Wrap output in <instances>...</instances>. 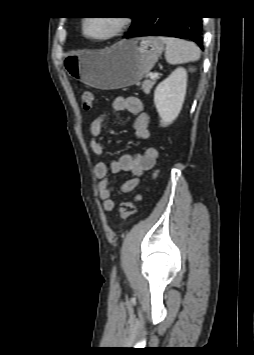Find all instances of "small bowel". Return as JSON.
<instances>
[{"instance_id":"1","label":"small bowel","mask_w":254,"mask_h":355,"mask_svg":"<svg viewBox=\"0 0 254 355\" xmlns=\"http://www.w3.org/2000/svg\"><path fill=\"white\" fill-rule=\"evenodd\" d=\"M112 109L116 112L128 111L134 114L135 120L133 128L135 136L141 141H147L150 138L149 122L150 117L143 112L142 101L138 97H116L112 102ZM106 115L103 114L92 121L89 127L91 150L97 156L105 154L104 147L100 141L103 132V126L106 121ZM158 151L154 147H146L141 154H122L117 160L112 161L110 165L100 162L95 166V175L99 179L98 192L106 212L112 211L115 202L114 197L118 193H129L135 190L140 184L141 177L146 171L151 170L157 162ZM109 171L120 172L127 171L132 174V178L126 180L115 192L114 186L109 179Z\"/></svg>"}]
</instances>
